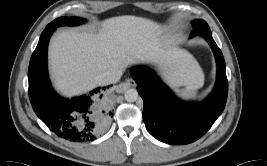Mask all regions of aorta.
<instances>
[{
	"instance_id": "762f6f07",
	"label": "aorta",
	"mask_w": 267,
	"mask_h": 166,
	"mask_svg": "<svg viewBox=\"0 0 267 166\" xmlns=\"http://www.w3.org/2000/svg\"><path fill=\"white\" fill-rule=\"evenodd\" d=\"M124 96L127 102H135L139 98V94L136 89H128Z\"/></svg>"
}]
</instances>
